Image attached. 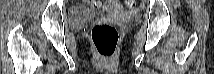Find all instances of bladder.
Returning a JSON list of instances; mask_svg holds the SVG:
<instances>
[{"label":"bladder","mask_w":214,"mask_h":74,"mask_svg":"<svg viewBox=\"0 0 214 74\" xmlns=\"http://www.w3.org/2000/svg\"><path fill=\"white\" fill-rule=\"evenodd\" d=\"M102 13H91L88 10L78 7L71 10L69 13V21L71 24L79 23L83 24L86 21L91 20L94 17L101 16Z\"/></svg>","instance_id":"31cf9c89"}]
</instances>
